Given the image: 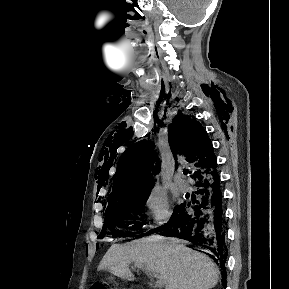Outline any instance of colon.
<instances>
[{
    "label": "colon",
    "mask_w": 289,
    "mask_h": 289,
    "mask_svg": "<svg viewBox=\"0 0 289 289\" xmlns=\"http://www.w3.org/2000/svg\"><path fill=\"white\" fill-rule=\"evenodd\" d=\"M90 289H108V287L103 282H95L91 285Z\"/></svg>",
    "instance_id": "1"
}]
</instances>
